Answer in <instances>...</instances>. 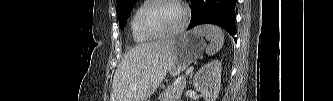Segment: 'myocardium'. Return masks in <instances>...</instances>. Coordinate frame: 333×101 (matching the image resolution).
Returning a JSON list of instances; mask_svg holds the SVG:
<instances>
[{
	"mask_svg": "<svg viewBox=\"0 0 333 101\" xmlns=\"http://www.w3.org/2000/svg\"><path fill=\"white\" fill-rule=\"evenodd\" d=\"M163 2H170L173 3L175 5H177L179 7V9L181 10V14H182V19L180 24L178 25V27H176L175 29H173L170 32L167 33H158L153 31L148 23H147V15L148 12L157 4L163 3ZM188 19H189V12L188 9L186 8V6L183 4L182 1H178V0H153L150 1L141 11V14L139 16V26L140 29L142 30V32L144 34H146L147 36L153 38V39H160V38H166V37H172L175 36L177 34H179L187 25L188 23Z\"/></svg>",
	"mask_w": 333,
	"mask_h": 101,
	"instance_id": "1",
	"label": "myocardium"
}]
</instances>
